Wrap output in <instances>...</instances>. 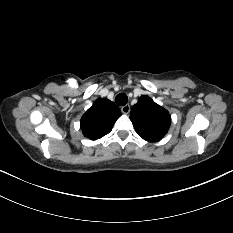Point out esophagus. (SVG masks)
Wrapping results in <instances>:
<instances>
[{
	"label": "esophagus",
	"instance_id": "34e87169",
	"mask_svg": "<svg viewBox=\"0 0 233 233\" xmlns=\"http://www.w3.org/2000/svg\"><path fill=\"white\" fill-rule=\"evenodd\" d=\"M121 111L124 113V114H128L130 112V105L129 104H126L124 106L121 107Z\"/></svg>",
	"mask_w": 233,
	"mask_h": 233
}]
</instances>
